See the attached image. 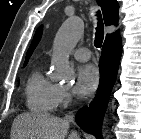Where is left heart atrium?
Listing matches in <instances>:
<instances>
[{
  "label": "left heart atrium",
  "mask_w": 141,
  "mask_h": 139,
  "mask_svg": "<svg viewBox=\"0 0 141 139\" xmlns=\"http://www.w3.org/2000/svg\"><path fill=\"white\" fill-rule=\"evenodd\" d=\"M98 82V69L92 64L82 65L77 70L74 92L80 97H87L96 89Z\"/></svg>",
  "instance_id": "39dd6f15"
}]
</instances>
